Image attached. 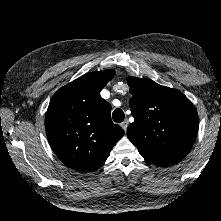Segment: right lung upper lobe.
<instances>
[{"instance_id":"1","label":"right lung upper lobe","mask_w":221,"mask_h":221,"mask_svg":"<svg viewBox=\"0 0 221 221\" xmlns=\"http://www.w3.org/2000/svg\"><path fill=\"white\" fill-rule=\"evenodd\" d=\"M113 70L91 72L60 88L45 118L48 141L69 168L89 172L100 168L124 130L111 121V105L100 91Z\"/></svg>"}]
</instances>
